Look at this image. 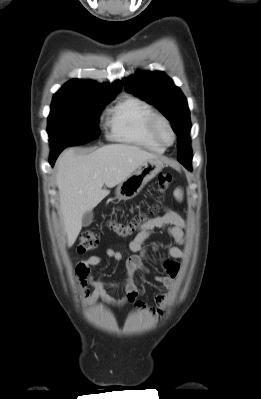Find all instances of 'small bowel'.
I'll use <instances>...</instances> for the list:
<instances>
[{"mask_svg": "<svg viewBox=\"0 0 261 399\" xmlns=\"http://www.w3.org/2000/svg\"><path fill=\"white\" fill-rule=\"evenodd\" d=\"M166 227L167 235L175 241L177 245L166 246L164 256L158 258L157 262L164 270V274L154 275V280L162 284L168 291L164 294L155 296L156 307L147 308L145 303L138 300L140 294L135 277L142 274H149V269L145 266L144 260L148 256L149 249L145 247V242L152 236L154 231ZM184 221L181 216L172 209H165L163 214L149 219L141 227L138 233L130 240L129 249L133 254L124 256L118 250L106 249V256L115 262H124L126 277L123 281L110 282L102 277L94 279L92 267L102 263L103 258L99 255H92L85 260H81L76 265V278L79 284L80 293L86 305L95 304L99 299L108 304L120 307L127 302H133L139 311H147L152 316L160 318L168 300L173 296L177 280L181 272V261L185 259V254L180 248L184 243ZM154 246L153 250H158ZM89 286L93 289L90 291ZM123 286L125 294L122 298H114L106 292L107 288H119Z\"/></svg>", "mask_w": 261, "mask_h": 399, "instance_id": "obj_1", "label": "small bowel"}]
</instances>
